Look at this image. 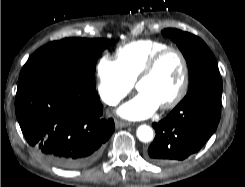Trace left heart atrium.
<instances>
[{"instance_id":"obj_1","label":"left heart atrium","mask_w":245,"mask_h":187,"mask_svg":"<svg viewBox=\"0 0 245 187\" xmlns=\"http://www.w3.org/2000/svg\"><path fill=\"white\" fill-rule=\"evenodd\" d=\"M159 105L147 93L139 92L135 98L124 104L118 113L130 120H141L151 116Z\"/></svg>"}]
</instances>
